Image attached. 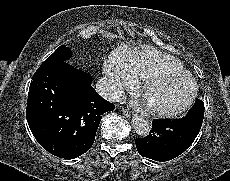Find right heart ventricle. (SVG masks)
<instances>
[{"instance_id":"right-heart-ventricle-1","label":"right heart ventricle","mask_w":230,"mask_h":181,"mask_svg":"<svg viewBox=\"0 0 230 181\" xmlns=\"http://www.w3.org/2000/svg\"><path fill=\"white\" fill-rule=\"evenodd\" d=\"M109 61L113 66L129 71L140 79L158 71L184 70L179 61L145 45H121L111 53Z\"/></svg>"}]
</instances>
